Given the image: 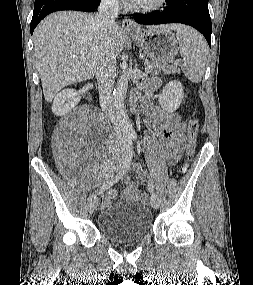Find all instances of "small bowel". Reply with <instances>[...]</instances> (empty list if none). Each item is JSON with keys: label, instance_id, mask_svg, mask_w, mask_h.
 <instances>
[{"label": "small bowel", "instance_id": "small-bowel-1", "mask_svg": "<svg viewBox=\"0 0 253 285\" xmlns=\"http://www.w3.org/2000/svg\"><path fill=\"white\" fill-rule=\"evenodd\" d=\"M159 86L160 81L154 80L148 85L147 90L153 92ZM144 109L148 129L161 139L157 144L158 151L166 158L169 164H175L179 160L185 144L186 124L181 121L178 115L169 114L163 109L154 106L151 102L146 103ZM134 170L136 171L134 179L127 175H123V179H121L125 184V189L121 196L127 201L138 200V185L146 180L145 174L138 165L134 166ZM116 196L117 190L115 188H109V191H106V198L109 200Z\"/></svg>", "mask_w": 253, "mask_h": 285}]
</instances>
